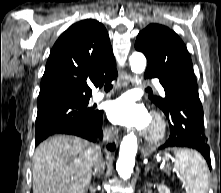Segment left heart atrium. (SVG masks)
<instances>
[{
  "instance_id": "obj_1",
  "label": "left heart atrium",
  "mask_w": 221,
  "mask_h": 193,
  "mask_svg": "<svg viewBox=\"0 0 221 193\" xmlns=\"http://www.w3.org/2000/svg\"><path fill=\"white\" fill-rule=\"evenodd\" d=\"M106 113L111 122L128 127L145 128L150 120L147 109L130 94L110 101Z\"/></svg>"
}]
</instances>
